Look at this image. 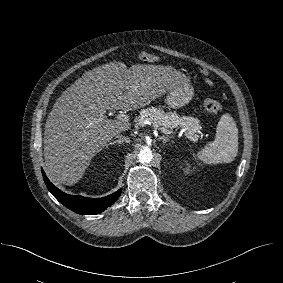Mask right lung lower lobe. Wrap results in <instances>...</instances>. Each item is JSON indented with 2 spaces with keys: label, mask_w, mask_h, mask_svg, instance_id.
<instances>
[{
  "label": "right lung lower lobe",
  "mask_w": 283,
  "mask_h": 283,
  "mask_svg": "<svg viewBox=\"0 0 283 283\" xmlns=\"http://www.w3.org/2000/svg\"><path fill=\"white\" fill-rule=\"evenodd\" d=\"M43 179L48 190L52 195L63 205L70 210L79 214H98L103 212L107 207L115 203L121 194V190L114 192L111 195L102 198H86L82 196L68 195L57 187H55L47 178L45 172L42 169Z\"/></svg>",
  "instance_id": "obj_1"
}]
</instances>
